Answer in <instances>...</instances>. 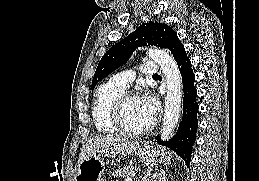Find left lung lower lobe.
<instances>
[{
  "instance_id": "1",
  "label": "left lung lower lobe",
  "mask_w": 259,
  "mask_h": 181,
  "mask_svg": "<svg viewBox=\"0 0 259 181\" xmlns=\"http://www.w3.org/2000/svg\"><path fill=\"white\" fill-rule=\"evenodd\" d=\"M170 51L178 64L182 76L184 90L183 117L176 135L171 140L163 142L160 137L157 136V142L171 148L185 161L187 166H189L191 161V150L196 140L198 125L197 91L194 86L195 75L184 46L180 41L176 42Z\"/></svg>"
}]
</instances>
